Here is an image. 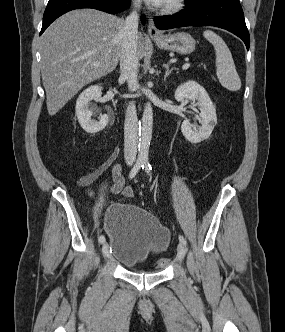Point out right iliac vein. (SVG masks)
<instances>
[{"label": "right iliac vein", "instance_id": "obj_1", "mask_svg": "<svg viewBox=\"0 0 285 332\" xmlns=\"http://www.w3.org/2000/svg\"><path fill=\"white\" fill-rule=\"evenodd\" d=\"M102 253H103L104 257H109L110 256V254H109V247H108L107 243L103 244Z\"/></svg>", "mask_w": 285, "mask_h": 332}]
</instances>
